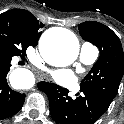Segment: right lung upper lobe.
<instances>
[{"label":"right lung upper lobe","mask_w":124,"mask_h":124,"mask_svg":"<svg viewBox=\"0 0 124 124\" xmlns=\"http://www.w3.org/2000/svg\"><path fill=\"white\" fill-rule=\"evenodd\" d=\"M0 17H4L15 23L28 36L30 41L36 46L41 35L40 29L43 24L40 23L32 13L24 9H12L2 13Z\"/></svg>","instance_id":"cb5924a9"}]
</instances>
